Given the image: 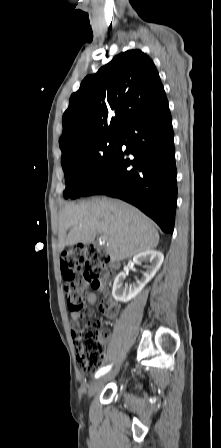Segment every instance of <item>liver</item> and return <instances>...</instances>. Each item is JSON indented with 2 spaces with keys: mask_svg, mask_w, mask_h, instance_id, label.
I'll list each match as a JSON object with an SVG mask.
<instances>
[{
  "mask_svg": "<svg viewBox=\"0 0 221 448\" xmlns=\"http://www.w3.org/2000/svg\"><path fill=\"white\" fill-rule=\"evenodd\" d=\"M98 233L114 261L152 250L159 243V234L152 221L120 200L92 199L78 205H66L60 211L59 251L77 243H91Z\"/></svg>",
  "mask_w": 221,
  "mask_h": 448,
  "instance_id": "obj_1",
  "label": "liver"
}]
</instances>
